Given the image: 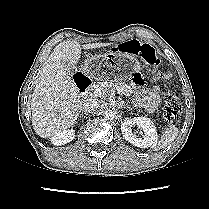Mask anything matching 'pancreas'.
<instances>
[{
	"instance_id": "pancreas-1",
	"label": "pancreas",
	"mask_w": 209,
	"mask_h": 209,
	"mask_svg": "<svg viewBox=\"0 0 209 209\" xmlns=\"http://www.w3.org/2000/svg\"><path fill=\"white\" fill-rule=\"evenodd\" d=\"M95 88H115L116 86L117 87H121L124 91V93L129 96L131 93H132V88L127 85L126 83L124 82H119V81H116L115 83L112 82V81H104V82H97L94 84Z\"/></svg>"
}]
</instances>
